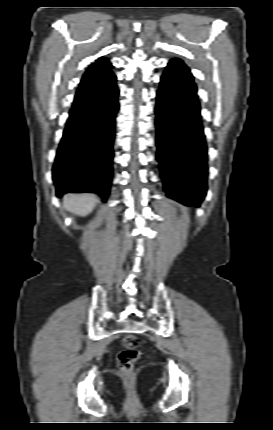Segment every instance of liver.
Segmentation results:
<instances>
[{"label":"liver","instance_id":"6515ba94","mask_svg":"<svg viewBox=\"0 0 273 430\" xmlns=\"http://www.w3.org/2000/svg\"><path fill=\"white\" fill-rule=\"evenodd\" d=\"M96 200L91 194H67L63 197V204L66 210L86 216L93 210Z\"/></svg>","mask_w":273,"mask_h":430}]
</instances>
